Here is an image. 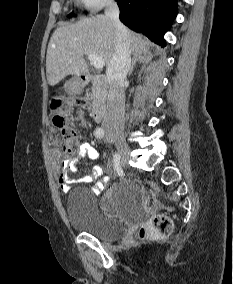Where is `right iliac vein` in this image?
<instances>
[{
	"label": "right iliac vein",
	"instance_id": "1",
	"mask_svg": "<svg viewBox=\"0 0 233 284\" xmlns=\"http://www.w3.org/2000/svg\"><path fill=\"white\" fill-rule=\"evenodd\" d=\"M110 139L112 142L115 143L123 162H126L129 158L130 155V148L127 144V142L125 141L124 137L120 134H112L110 136Z\"/></svg>",
	"mask_w": 233,
	"mask_h": 284
}]
</instances>
